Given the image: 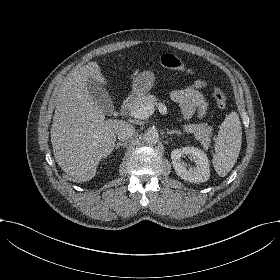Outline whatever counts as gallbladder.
I'll return each mask as SVG.
<instances>
[{
    "label": "gallbladder",
    "instance_id": "bac80fb5",
    "mask_svg": "<svg viewBox=\"0 0 280 280\" xmlns=\"http://www.w3.org/2000/svg\"><path fill=\"white\" fill-rule=\"evenodd\" d=\"M88 86L89 95L91 96L92 100L103 110V112L108 116H117L112 99L106 89L103 87L102 83L98 80L89 78Z\"/></svg>",
    "mask_w": 280,
    "mask_h": 280
}]
</instances>
